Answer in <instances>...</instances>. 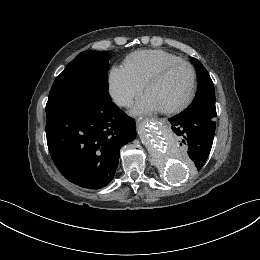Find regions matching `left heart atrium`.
Wrapping results in <instances>:
<instances>
[{"instance_id": "obj_1", "label": "left heart atrium", "mask_w": 260, "mask_h": 260, "mask_svg": "<svg viewBox=\"0 0 260 260\" xmlns=\"http://www.w3.org/2000/svg\"><path fill=\"white\" fill-rule=\"evenodd\" d=\"M158 109L161 108L148 94H145L135 103L133 111L135 113H147Z\"/></svg>"}]
</instances>
